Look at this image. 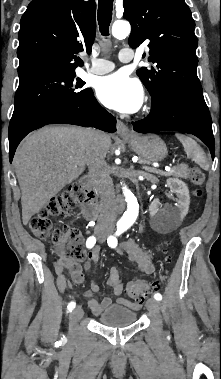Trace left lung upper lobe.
Returning a JSON list of instances; mask_svg holds the SVG:
<instances>
[{
	"instance_id": "left-lung-upper-lobe-1",
	"label": "left lung upper lobe",
	"mask_w": 221,
	"mask_h": 379,
	"mask_svg": "<svg viewBox=\"0 0 221 379\" xmlns=\"http://www.w3.org/2000/svg\"><path fill=\"white\" fill-rule=\"evenodd\" d=\"M124 14L132 32L128 43L136 48L149 42L148 61L137 75L153 97L173 91L203 97L197 77L195 22L185 0H123Z\"/></svg>"
}]
</instances>
